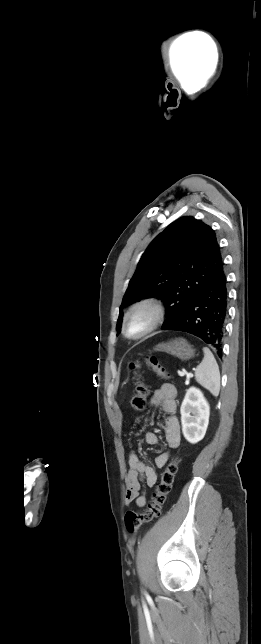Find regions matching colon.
Here are the masks:
<instances>
[{"label":"colon","instance_id":"5ec220e1","mask_svg":"<svg viewBox=\"0 0 261 644\" xmlns=\"http://www.w3.org/2000/svg\"><path fill=\"white\" fill-rule=\"evenodd\" d=\"M145 365L158 376L168 378L169 373L161 365L156 356H148L143 362H135L131 364V369L135 375V393L131 399V407L134 410H142L146 406L147 398L149 396V388L144 382L141 369ZM179 458L174 457L165 467L161 473L159 482L155 485V490L152 494L151 501L144 511H127L125 514V526L129 533H136L140 526L148 523L161 515L162 507L165 503L167 495L170 493L175 475L178 470Z\"/></svg>","mask_w":261,"mask_h":644}]
</instances>
